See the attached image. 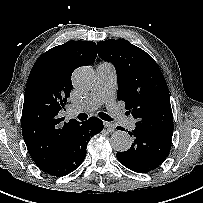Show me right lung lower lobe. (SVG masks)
<instances>
[{"label":"right lung lower lobe","mask_w":203,"mask_h":203,"mask_svg":"<svg viewBox=\"0 0 203 203\" xmlns=\"http://www.w3.org/2000/svg\"><path fill=\"white\" fill-rule=\"evenodd\" d=\"M102 130L103 122L97 117L73 125L54 162L41 170L57 177L73 172L83 162L91 137Z\"/></svg>","instance_id":"obj_1"}]
</instances>
